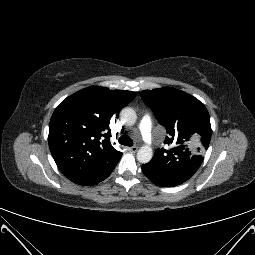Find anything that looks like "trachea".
Wrapping results in <instances>:
<instances>
[{"label": "trachea", "mask_w": 255, "mask_h": 255, "mask_svg": "<svg viewBox=\"0 0 255 255\" xmlns=\"http://www.w3.org/2000/svg\"><path fill=\"white\" fill-rule=\"evenodd\" d=\"M119 143L125 146H132L133 140L129 136L123 135L119 138Z\"/></svg>", "instance_id": "3493384b"}]
</instances>
